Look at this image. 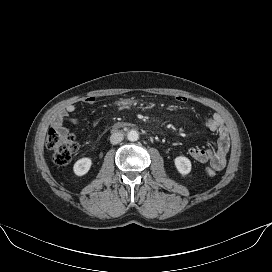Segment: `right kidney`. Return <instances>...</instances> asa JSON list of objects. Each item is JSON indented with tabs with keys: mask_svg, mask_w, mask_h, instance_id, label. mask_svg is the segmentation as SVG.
Instances as JSON below:
<instances>
[{
	"mask_svg": "<svg viewBox=\"0 0 272 272\" xmlns=\"http://www.w3.org/2000/svg\"><path fill=\"white\" fill-rule=\"evenodd\" d=\"M92 160L89 157H84L76 161L73 166V171L77 176H83L90 170Z\"/></svg>",
	"mask_w": 272,
	"mask_h": 272,
	"instance_id": "1",
	"label": "right kidney"
}]
</instances>
